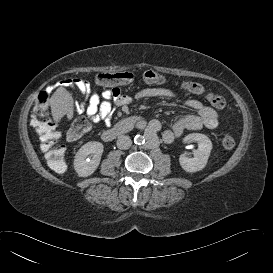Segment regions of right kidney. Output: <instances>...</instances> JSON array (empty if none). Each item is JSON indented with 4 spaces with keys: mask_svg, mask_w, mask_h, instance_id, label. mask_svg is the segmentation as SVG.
Listing matches in <instances>:
<instances>
[{
    "mask_svg": "<svg viewBox=\"0 0 273 273\" xmlns=\"http://www.w3.org/2000/svg\"><path fill=\"white\" fill-rule=\"evenodd\" d=\"M103 150V144L97 141H90L78 150L73 163L78 176L88 177L94 173L100 164Z\"/></svg>",
    "mask_w": 273,
    "mask_h": 273,
    "instance_id": "right-kidney-1",
    "label": "right kidney"
}]
</instances>
